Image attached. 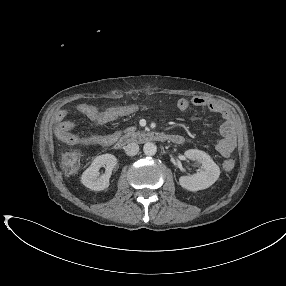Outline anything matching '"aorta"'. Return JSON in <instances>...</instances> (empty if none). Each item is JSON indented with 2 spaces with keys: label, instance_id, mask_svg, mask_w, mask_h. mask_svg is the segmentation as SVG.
Wrapping results in <instances>:
<instances>
[{
  "label": "aorta",
  "instance_id": "aorta-1",
  "mask_svg": "<svg viewBox=\"0 0 286 286\" xmlns=\"http://www.w3.org/2000/svg\"><path fill=\"white\" fill-rule=\"evenodd\" d=\"M143 151L147 156H153L157 152V146L152 142H147L144 144Z\"/></svg>",
  "mask_w": 286,
  "mask_h": 286
}]
</instances>
